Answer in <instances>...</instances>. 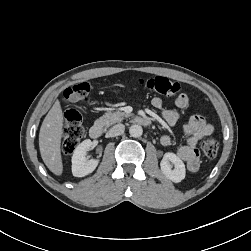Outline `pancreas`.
I'll list each match as a JSON object with an SVG mask.
<instances>
[{
	"label": "pancreas",
	"instance_id": "pancreas-1",
	"mask_svg": "<svg viewBox=\"0 0 251 251\" xmlns=\"http://www.w3.org/2000/svg\"><path fill=\"white\" fill-rule=\"evenodd\" d=\"M130 114L121 111L107 112L102 117L96 120V124L108 128L113 124L121 122L124 117H129Z\"/></svg>",
	"mask_w": 251,
	"mask_h": 251
}]
</instances>
